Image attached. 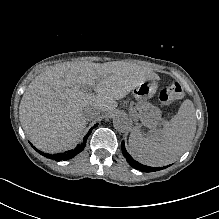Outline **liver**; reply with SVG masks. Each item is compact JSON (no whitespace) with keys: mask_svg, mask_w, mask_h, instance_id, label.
Masks as SVG:
<instances>
[{"mask_svg":"<svg viewBox=\"0 0 219 219\" xmlns=\"http://www.w3.org/2000/svg\"><path fill=\"white\" fill-rule=\"evenodd\" d=\"M149 75L144 67L118 62H67L47 67L24 92L19 120L38 149L66 151L81 137L87 116L94 114L95 119L101 112L114 111L117 100ZM81 86L94 87L95 93H86Z\"/></svg>","mask_w":219,"mask_h":219,"instance_id":"1","label":"liver"}]
</instances>
